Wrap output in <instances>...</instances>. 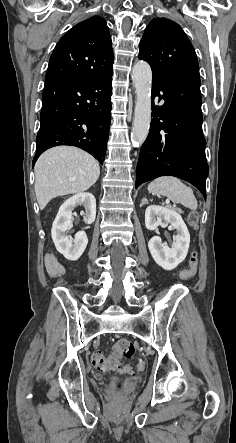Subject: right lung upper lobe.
<instances>
[{
  "mask_svg": "<svg viewBox=\"0 0 236 443\" xmlns=\"http://www.w3.org/2000/svg\"><path fill=\"white\" fill-rule=\"evenodd\" d=\"M108 27L94 16L71 28L57 43L49 60L46 81L95 77L112 70Z\"/></svg>",
  "mask_w": 236,
  "mask_h": 443,
  "instance_id": "1",
  "label": "right lung upper lobe"
}]
</instances>
